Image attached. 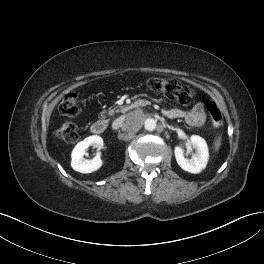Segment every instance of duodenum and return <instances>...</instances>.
Wrapping results in <instances>:
<instances>
[{"mask_svg":"<svg viewBox=\"0 0 264 264\" xmlns=\"http://www.w3.org/2000/svg\"><path fill=\"white\" fill-rule=\"evenodd\" d=\"M142 105V102H134L129 108L135 109ZM108 123L105 120H97L91 125V132L94 134H102L107 129Z\"/></svg>","mask_w":264,"mask_h":264,"instance_id":"410a0bca","label":"duodenum"}]
</instances>
